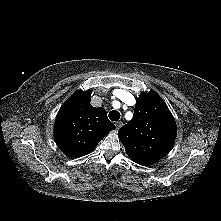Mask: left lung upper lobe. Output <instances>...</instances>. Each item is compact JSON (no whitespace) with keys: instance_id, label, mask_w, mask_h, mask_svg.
Wrapping results in <instances>:
<instances>
[{"instance_id":"5c2ea615","label":"left lung upper lobe","mask_w":221,"mask_h":221,"mask_svg":"<svg viewBox=\"0 0 221 221\" xmlns=\"http://www.w3.org/2000/svg\"><path fill=\"white\" fill-rule=\"evenodd\" d=\"M118 134L128 156L146 166L169 153L175 142L177 127L162 98L155 91H150L139 96L133 118Z\"/></svg>"}]
</instances>
